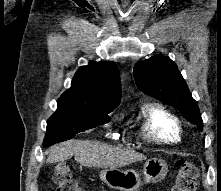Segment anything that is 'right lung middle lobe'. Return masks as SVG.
I'll use <instances>...</instances> for the list:
<instances>
[{"mask_svg":"<svg viewBox=\"0 0 221 191\" xmlns=\"http://www.w3.org/2000/svg\"><path fill=\"white\" fill-rule=\"evenodd\" d=\"M108 113L57 107L56 112L47 121L43 146L47 147L71 139L79 132H84L95 128L98 124L108 122L110 120Z\"/></svg>","mask_w":221,"mask_h":191,"instance_id":"dd1d6c3e","label":"right lung middle lobe"}]
</instances>
